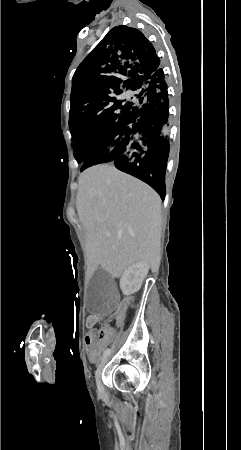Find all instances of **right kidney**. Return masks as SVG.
I'll list each match as a JSON object with an SVG mask.
<instances>
[{"mask_svg":"<svg viewBox=\"0 0 241 450\" xmlns=\"http://www.w3.org/2000/svg\"><path fill=\"white\" fill-rule=\"evenodd\" d=\"M149 272L148 264L145 262H138V264H132L125 272H123L120 280V288L124 296H131L140 290L144 278H146Z\"/></svg>","mask_w":241,"mask_h":450,"instance_id":"1","label":"right kidney"}]
</instances>
